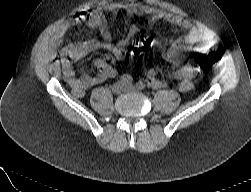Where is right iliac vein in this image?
<instances>
[{
    "instance_id": "1",
    "label": "right iliac vein",
    "mask_w": 251,
    "mask_h": 192,
    "mask_svg": "<svg viewBox=\"0 0 251 192\" xmlns=\"http://www.w3.org/2000/svg\"><path fill=\"white\" fill-rule=\"evenodd\" d=\"M123 88H124V84L122 82H116L112 86V92L114 94H120Z\"/></svg>"
}]
</instances>
